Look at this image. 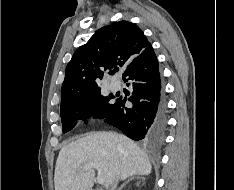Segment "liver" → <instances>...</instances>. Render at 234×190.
Listing matches in <instances>:
<instances>
[{"label":"liver","mask_w":234,"mask_h":190,"mask_svg":"<svg viewBox=\"0 0 234 190\" xmlns=\"http://www.w3.org/2000/svg\"><path fill=\"white\" fill-rule=\"evenodd\" d=\"M88 163L100 165L107 188L115 179L149 175L152 169L146 153L128 137L111 131L91 133L61 148L55 190H92L95 171L83 170Z\"/></svg>","instance_id":"1"}]
</instances>
